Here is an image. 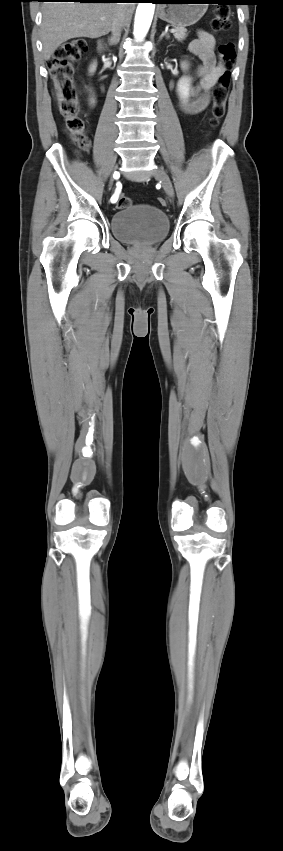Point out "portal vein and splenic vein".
<instances>
[{
  "instance_id": "1",
  "label": "portal vein and splenic vein",
  "mask_w": 283,
  "mask_h": 851,
  "mask_svg": "<svg viewBox=\"0 0 283 851\" xmlns=\"http://www.w3.org/2000/svg\"><path fill=\"white\" fill-rule=\"evenodd\" d=\"M174 31H175L174 29H171V30H170V32H171V33H173Z\"/></svg>"
}]
</instances>
